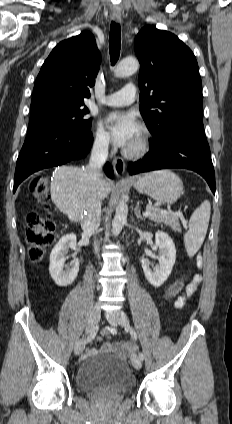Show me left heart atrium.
I'll return each instance as SVG.
<instances>
[{
    "mask_svg": "<svg viewBox=\"0 0 232 424\" xmlns=\"http://www.w3.org/2000/svg\"><path fill=\"white\" fill-rule=\"evenodd\" d=\"M106 122L113 142L120 147H128L140 133L139 124L131 114L112 113Z\"/></svg>",
    "mask_w": 232,
    "mask_h": 424,
    "instance_id": "1",
    "label": "left heart atrium"
}]
</instances>
